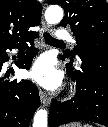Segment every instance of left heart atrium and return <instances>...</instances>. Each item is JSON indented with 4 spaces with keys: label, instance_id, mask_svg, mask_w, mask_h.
<instances>
[{
    "label": "left heart atrium",
    "instance_id": "obj_1",
    "mask_svg": "<svg viewBox=\"0 0 108 127\" xmlns=\"http://www.w3.org/2000/svg\"><path fill=\"white\" fill-rule=\"evenodd\" d=\"M30 77L45 88L57 87L62 79L61 73L55 68L49 56L40 57L30 70Z\"/></svg>",
    "mask_w": 108,
    "mask_h": 127
}]
</instances>
